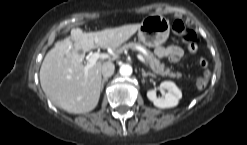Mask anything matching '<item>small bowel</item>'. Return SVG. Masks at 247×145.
I'll list each match as a JSON object with an SVG mask.
<instances>
[{
    "label": "small bowel",
    "instance_id": "c3829d8e",
    "mask_svg": "<svg viewBox=\"0 0 247 145\" xmlns=\"http://www.w3.org/2000/svg\"><path fill=\"white\" fill-rule=\"evenodd\" d=\"M187 51L190 54H195L197 52V46L195 44H190L187 47ZM155 52L157 56L168 58L171 62H177L184 54V50L179 46H160L156 48Z\"/></svg>",
    "mask_w": 247,
    "mask_h": 145
}]
</instances>
